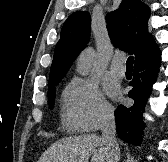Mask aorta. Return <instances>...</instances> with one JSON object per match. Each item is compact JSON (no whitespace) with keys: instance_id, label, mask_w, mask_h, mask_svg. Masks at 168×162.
I'll use <instances>...</instances> for the list:
<instances>
[{"instance_id":"obj_1","label":"aorta","mask_w":168,"mask_h":162,"mask_svg":"<svg viewBox=\"0 0 168 162\" xmlns=\"http://www.w3.org/2000/svg\"><path fill=\"white\" fill-rule=\"evenodd\" d=\"M96 59V52L92 47L86 48L78 58L77 71L80 75H87Z\"/></svg>"}]
</instances>
